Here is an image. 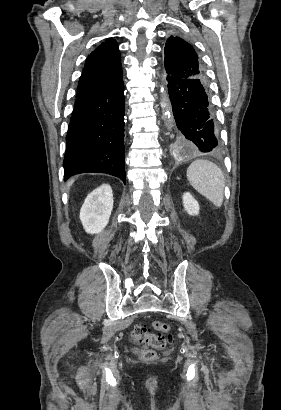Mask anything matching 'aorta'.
I'll return each instance as SVG.
<instances>
[{"label":"aorta","instance_id":"1","mask_svg":"<svg viewBox=\"0 0 281 410\" xmlns=\"http://www.w3.org/2000/svg\"><path fill=\"white\" fill-rule=\"evenodd\" d=\"M161 108L165 120L170 123L172 121L171 108L167 95L164 93L161 99ZM170 128V127H168Z\"/></svg>","mask_w":281,"mask_h":410}]
</instances>
